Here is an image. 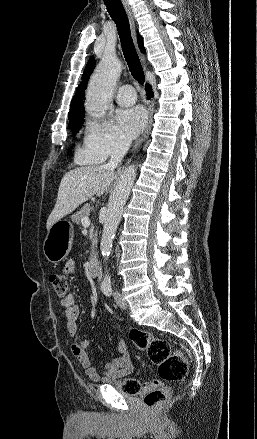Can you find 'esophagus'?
I'll return each mask as SVG.
<instances>
[{"mask_svg": "<svg viewBox=\"0 0 257 439\" xmlns=\"http://www.w3.org/2000/svg\"><path fill=\"white\" fill-rule=\"evenodd\" d=\"M121 2L124 6V9H125L126 14L128 16V19H129L133 39L136 41L135 23H134L133 12H132L131 7L129 6L127 0H121ZM141 59H142L143 63L145 64V57L141 56ZM153 112H154V101L151 99L148 101V121H147L146 128H145L144 132L141 134V136L133 144V146L131 148V152L136 151L141 146V144L144 142V140L147 138L148 133L151 129V125H152Z\"/></svg>", "mask_w": 257, "mask_h": 439, "instance_id": "1", "label": "esophagus"}]
</instances>
